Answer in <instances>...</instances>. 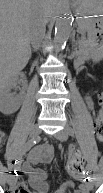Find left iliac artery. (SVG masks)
Returning a JSON list of instances; mask_svg holds the SVG:
<instances>
[{
  "label": "left iliac artery",
  "instance_id": "obj_1",
  "mask_svg": "<svg viewBox=\"0 0 103 193\" xmlns=\"http://www.w3.org/2000/svg\"><path fill=\"white\" fill-rule=\"evenodd\" d=\"M66 130H67V133L69 135H71V136L74 135V130L71 127H67ZM86 171H87V178L89 179V181H93L94 174H93L92 168L89 164L86 166Z\"/></svg>",
  "mask_w": 103,
  "mask_h": 193
}]
</instances>
